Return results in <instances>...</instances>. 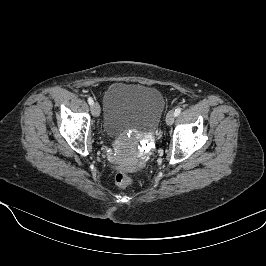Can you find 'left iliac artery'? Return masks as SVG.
Masks as SVG:
<instances>
[{
  "instance_id": "left-iliac-artery-1",
  "label": "left iliac artery",
  "mask_w": 266,
  "mask_h": 266,
  "mask_svg": "<svg viewBox=\"0 0 266 266\" xmlns=\"http://www.w3.org/2000/svg\"><path fill=\"white\" fill-rule=\"evenodd\" d=\"M180 113H181V108L180 107H178L177 109H175V112H174L175 117L178 116Z\"/></svg>"
}]
</instances>
